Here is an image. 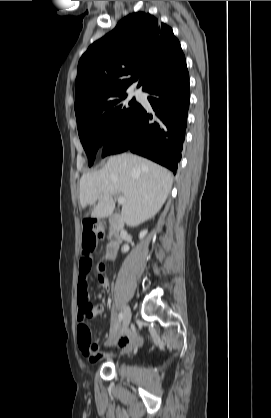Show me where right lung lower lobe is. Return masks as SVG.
Returning a JSON list of instances; mask_svg holds the SVG:
<instances>
[{
    "instance_id": "right-lung-lower-lobe-1",
    "label": "right lung lower lobe",
    "mask_w": 271,
    "mask_h": 418,
    "mask_svg": "<svg viewBox=\"0 0 271 418\" xmlns=\"http://www.w3.org/2000/svg\"><path fill=\"white\" fill-rule=\"evenodd\" d=\"M155 112L141 106L103 144L102 156L130 150L147 157L175 174L181 159L190 102L189 73L184 61L148 91Z\"/></svg>"
}]
</instances>
